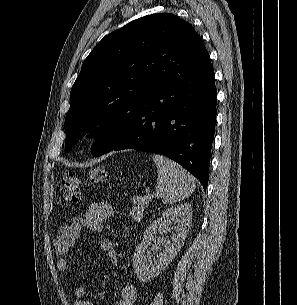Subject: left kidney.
Instances as JSON below:
<instances>
[{"label":"left kidney","mask_w":297,"mask_h":305,"mask_svg":"<svg viewBox=\"0 0 297 305\" xmlns=\"http://www.w3.org/2000/svg\"><path fill=\"white\" fill-rule=\"evenodd\" d=\"M172 222L176 226L171 228L169 226ZM191 222L192 206L184 203L163 211L160 217L146 228L142 242L136 247L133 256V266L139 281H150L166 268L184 243ZM158 230L172 231L173 234L170 239H156L154 236ZM151 241L154 242L153 251H158L161 245L164 246V250L153 260L145 255Z\"/></svg>","instance_id":"obj_1"}]
</instances>
